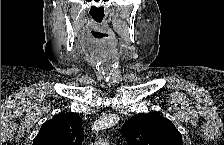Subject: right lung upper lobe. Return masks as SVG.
<instances>
[{"mask_svg":"<svg viewBox=\"0 0 224 145\" xmlns=\"http://www.w3.org/2000/svg\"><path fill=\"white\" fill-rule=\"evenodd\" d=\"M81 123V117L75 113L57 114L41 126L33 145H80Z\"/></svg>","mask_w":224,"mask_h":145,"instance_id":"right-lung-upper-lobe-1","label":"right lung upper lobe"}]
</instances>
